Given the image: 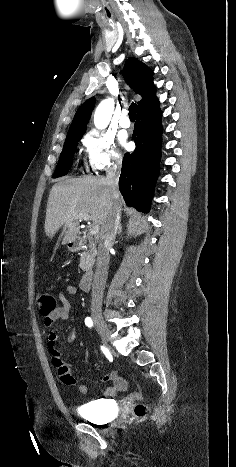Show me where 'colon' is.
Masks as SVG:
<instances>
[{
	"instance_id": "obj_1",
	"label": "colon",
	"mask_w": 236,
	"mask_h": 467,
	"mask_svg": "<svg viewBox=\"0 0 236 467\" xmlns=\"http://www.w3.org/2000/svg\"><path fill=\"white\" fill-rule=\"evenodd\" d=\"M37 304L39 311L42 315H49L56 309V300L55 298L47 293L40 292L37 294ZM148 413V409L144 404H137L134 408V415L138 419L144 418Z\"/></svg>"
}]
</instances>
